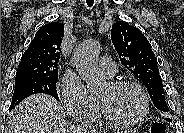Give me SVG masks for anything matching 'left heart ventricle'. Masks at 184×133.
<instances>
[{
	"mask_svg": "<svg viewBox=\"0 0 184 133\" xmlns=\"http://www.w3.org/2000/svg\"><path fill=\"white\" fill-rule=\"evenodd\" d=\"M97 97L106 111L116 118L131 119L142 110V98L132 87L115 89L107 83L99 90Z\"/></svg>",
	"mask_w": 184,
	"mask_h": 133,
	"instance_id": "obj_1",
	"label": "left heart ventricle"
}]
</instances>
